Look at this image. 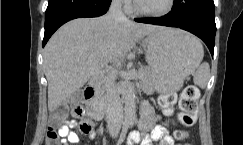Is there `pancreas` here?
Here are the masks:
<instances>
[{
	"label": "pancreas",
	"mask_w": 243,
	"mask_h": 145,
	"mask_svg": "<svg viewBox=\"0 0 243 145\" xmlns=\"http://www.w3.org/2000/svg\"><path fill=\"white\" fill-rule=\"evenodd\" d=\"M115 68L117 69L118 65H116ZM139 73H140V78H141V80L143 82L144 88L145 89H149L152 86V84H153V74H152V72L149 69H147V68H142V69H140ZM105 81H106V77H103L101 79L100 83H99V86H98L100 91H104L105 90Z\"/></svg>",
	"instance_id": "1"
}]
</instances>
